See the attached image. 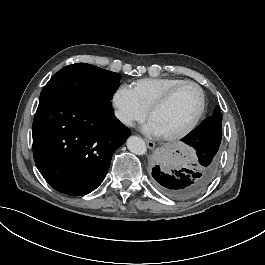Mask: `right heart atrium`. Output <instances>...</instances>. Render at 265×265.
<instances>
[{"mask_svg": "<svg viewBox=\"0 0 265 265\" xmlns=\"http://www.w3.org/2000/svg\"><path fill=\"white\" fill-rule=\"evenodd\" d=\"M112 108L122 126L134 130L145 122L146 112L130 93L128 86L121 84L110 94Z\"/></svg>", "mask_w": 265, "mask_h": 265, "instance_id": "obj_1", "label": "right heart atrium"}]
</instances>
